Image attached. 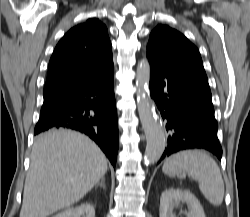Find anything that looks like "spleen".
I'll return each mask as SVG.
<instances>
[{"label":"spleen","instance_id":"1","mask_svg":"<svg viewBox=\"0 0 250 217\" xmlns=\"http://www.w3.org/2000/svg\"><path fill=\"white\" fill-rule=\"evenodd\" d=\"M164 174L174 177L187 173L198 181L204 197L214 206H219L224 198V182L215 160L200 150H185L178 152L164 162Z\"/></svg>","mask_w":250,"mask_h":217}]
</instances>
